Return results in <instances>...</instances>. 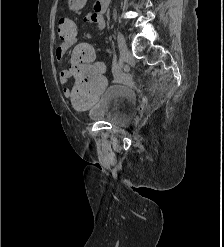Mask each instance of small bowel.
Instances as JSON below:
<instances>
[{
	"label": "small bowel",
	"mask_w": 224,
	"mask_h": 247,
	"mask_svg": "<svg viewBox=\"0 0 224 247\" xmlns=\"http://www.w3.org/2000/svg\"><path fill=\"white\" fill-rule=\"evenodd\" d=\"M85 2H86V0H69V7L72 10H79L84 6ZM83 20H84V22H87V23L96 24L100 31L103 30L105 25H106L104 15L100 12H97L95 10V8L92 12H89L84 17ZM75 43H76V38L63 40L62 43L55 50L56 59L59 61L62 60L65 53L71 47H73L75 45ZM69 78H70V72L68 70H63L60 72L59 81L62 85H66L69 81ZM63 94L66 98H69L70 90L68 88H64Z\"/></svg>",
	"instance_id": "c3829d8e"
}]
</instances>
